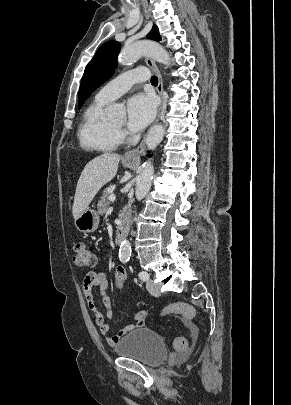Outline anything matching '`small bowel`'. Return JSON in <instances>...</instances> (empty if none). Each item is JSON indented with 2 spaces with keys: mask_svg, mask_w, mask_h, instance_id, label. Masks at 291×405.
I'll list each match as a JSON object with an SVG mask.
<instances>
[{
  "mask_svg": "<svg viewBox=\"0 0 291 405\" xmlns=\"http://www.w3.org/2000/svg\"><path fill=\"white\" fill-rule=\"evenodd\" d=\"M81 289L94 323L98 327L100 334L105 337L108 345H115L123 336L143 324L145 313L141 311L135 315V322L133 324H130L113 334L109 333V325L105 318L112 319L114 316V310L111 299L107 295L108 277L104 271H91L84 274L81 280ZM95 293H97L102 299V303L105 307V316L96 306L94 300Z\"/></svg>",
  "mask_w": 291,
  "mask_h": 405,
  "instance_id": "c3829d8e",
  "label": "small bowel"
}]
</instances>
